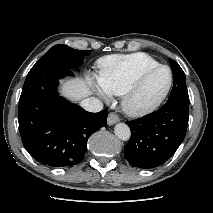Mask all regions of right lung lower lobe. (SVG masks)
Here are the masks:
<instances>
[{"label":"right lung lower lobe","mask_w":213,"mask_h":213,"mask_svg":"<svg viewBox=\"0 0 213 213\" xmlns=\"http://www.w3.org/2000/svg\"><path fill=\"white\" fill-rule=\"evenodd\" d=\"M73 75L60 64L33 68L19 100V130L23 145L38 162L51 167L78 164L89 136L107 124V111L90 113L56 93L58 80Z\"/></svg>","instance_id":"obj_1"}]
</instances>
